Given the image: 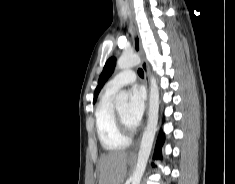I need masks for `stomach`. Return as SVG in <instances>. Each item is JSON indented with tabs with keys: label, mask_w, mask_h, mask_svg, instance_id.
<instances>
[{
	"label": "stomach",
	"mask_w": 235,
	"mask_h": 184,
	"mask_svg": "<svg viewBox=\"0 0 235 184\" xmlns=\"http://www.w3.org/2000/svg\"><path fill=\"white\" fill-rule=\"evenodd\" d=\"M133 160H131V156H128V164H132Z\"/></svg>",
	"instance_id": "stomach-1"
}]
</instances>
